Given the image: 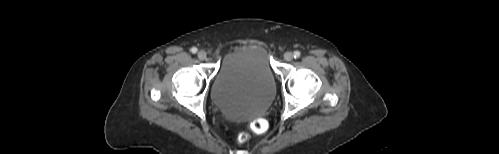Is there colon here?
I'll return each instance as SVG.
<instances>
[{"mask_svg": "<svg viewBox=\"0 0 499 154\" xmlns=\"http://www.w3.org/2000/svg\"><path fill=\"white\" fill-rule=\"evenodd\" d=\"M250 128L255 133H263L267 130L268 126L264 120L257 119L251 123ZM248 139H249V134L243 132L239 135L238 142L245 143Z\"/></svg>", "mask_w": 499, "mask_h": 154, "instance_id": "1", "label": "colon"}]
</instances>
